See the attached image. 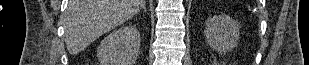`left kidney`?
<instances>
[{
    "mask_svg": "<svg viewBox=\"0 0 309 65\" xmlns=\"http://www.w3.org/2000/svg\"><path fill=\"white\" fill-rule=\"evenodd\" d=\"M204 36L207 44L219 53H226L237 46L239 24L228 16H213L205 21Z\"/></svg>",
    "mask_w": 309,
    "mask_h": 65,
    "instance_id": "5707ae66",
    "label": "left kidney"
}]
</instances>
